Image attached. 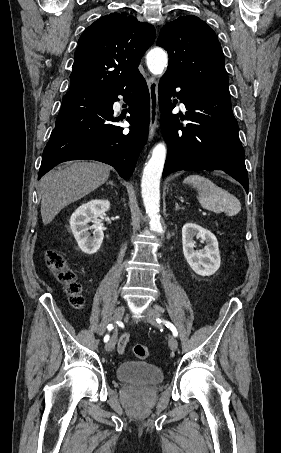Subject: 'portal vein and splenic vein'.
I'll use <instances>...</instances> for the list:
<instances>
[{
  "label": "portal vein and splenic vein",
  "instance_id": "1",
  "mask_svg": "<svg viewBox=\"0 0 281 453\" xmlns=\"http://www.w3.org/2000/svg\"><path fill=\"white\" fill-rule=\"evenodd\" d=\"M197 211H201V208H197ZM201 212H202V215H205L206 217H207V216H208V214H209L208 212L206 213V212H205V211H203V210H202Z\"/></svg>",
  "mask_w": 281,
  "mask_h": 453
}]
</instances>
